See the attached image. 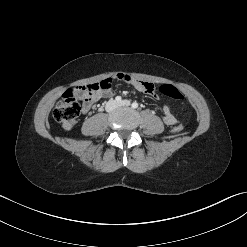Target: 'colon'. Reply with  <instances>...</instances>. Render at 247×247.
Returning <instances> with one entry per match:
<instances>
[{
    "mask_svg": "<svg viewBox=\"0 0 247 247\" xmlns=\"http://www.w3.org/2000/svg\"><path fill=\"white\" fill-rule=\"evenodd\" d=\"M111 87V80L105 79L100 82L82 86L77 90H70L66 92L53 110L54 119L60 123L65 130L72 129L77 122L81 110L77 100L78 91L82 92L88 101L95 102L103 92L109 90ZM159 91L171 99L179 101L183 100V95L173 85H161ZM182 130L183 125L181 123H177L171 128V132L173 134H178Z\"/></svg>",
    "mask_w": 247,
    "mask_h": 247,
    "instance_id": "colon-1",
    "label": "colon"
}]
</instances>
